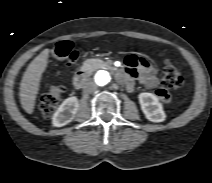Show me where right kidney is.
Segmentation results:
<instances>
[{"label": "right kidney", "mask_w": 212, "mask_h": 183, "mask_svg": "<svg viewBox=\"0 0 212 183\" xmlns=\"http://www.w3.org/2000/svg\"><path fill=\"white\" fill-rule=\"evenodd\" d=\"M79 108L78 98L73 96L65 99L54 113L52 118V124L55 127H62L70 123Z\"/></svg>", "instance_id": "obj_1"}]
</instances>
